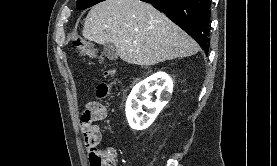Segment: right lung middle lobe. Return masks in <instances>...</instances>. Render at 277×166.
Returning a JSON list of instances; mask_svg holds the SVG:
<instances>
[{
	"label": "right lung middle lobe",
	"instance_id": "right-lung-middle-lobe-1",
	"mask_svg": "<svg viewBox=\"0 0 277 166\" xmlns=\"http://www.w3.org/2000/svg\"><path fill=\"white\" fill-rule=\"evenodd\" d=\"M102 1H104V0H78L76 3L77 4L76 7L78 10H83V9H87V8L97 4L99 2H102Z\"/></svg>",
	"mask_w": 277,
	"mask_h": 166
}]
</instances>
